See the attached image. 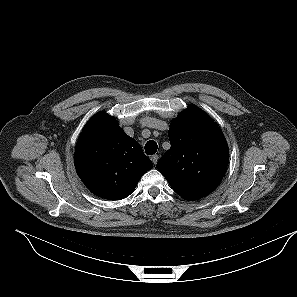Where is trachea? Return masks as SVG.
I'll return each mask as SVG.
<instances>
[{
    "instance_id": "obj_1",
    "label": "trachea",
    "mask_w": 297,
    "mask_h": 297,
    "mask_svg": "<svg viewBox=\"0 0 297 297\" xmlns=\"http://www.w3.org/2000/svg\"><path fill=\"white\" fill-rule=\"evenodd\" d=\"M157 148H158L157 143L153 140H150L145 144V152L148 155L155 154L157 152Z\"/></svg>"
}]
</instances>
